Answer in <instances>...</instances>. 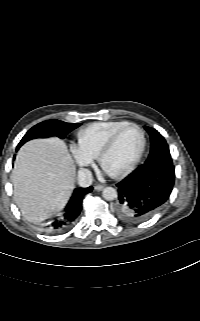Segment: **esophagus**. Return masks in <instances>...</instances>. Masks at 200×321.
<instances>
[{"label":"esophagus","mask_w":200,"mask_h":321,"mask_svg":"<svg viewBox=\"0 0 200 321\" xmlns=\"http://www.w3.org/2000/svg\"><path fill=\"white\" fill-rule=\"evenodd\" d=\"M104 185H101V184H96L94 186V189L97 190V191H102L104 189Z\"/></svg>","instance_id":"obj_1"}]
</instances>
